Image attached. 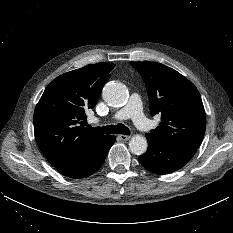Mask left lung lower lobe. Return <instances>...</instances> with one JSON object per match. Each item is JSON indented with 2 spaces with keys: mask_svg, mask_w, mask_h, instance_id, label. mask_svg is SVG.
Returning a JSON list of instances; mask_svg holds the SVG:
<instances>
[{
  "mask_svg": "<svg viewBox=\"0 0 233 233\" xmlns=\"http://www.w3.org/2000/svg\"><path fill=\"white\" fill-rule=\"evenodd\" d=\"M148 149L139 157L141 165L156 174H168L182 168L193 157L196 149L166 145L147 137Z\"/></svg>",
  "mask_w": 233,
  "mask_h": 233,
  "instance_id": "0a47b994",
  "label": "left lung lower lobe"
}]
</instances>
